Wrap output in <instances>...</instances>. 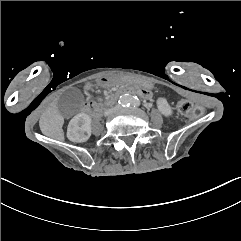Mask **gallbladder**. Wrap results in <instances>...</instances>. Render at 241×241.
Returning <instances> with one entry per match:
<instances>
[{
    "label": "gallbladder",
    "mask_w": 241,
    "mask_h": 241,
    "mask_svg": "<svg viewBox=\"0 0 241 241\" xmlns=\"http://www.w3.org/2000/svg\"><path fill=\"white\" fill-rule=\"evenodd\" d=\"M82 92L76 88L67 89L59 100V115L69 118L79 113L82 106Z\"/></svg>",
    "instance_id": "obj_1"
}]
</instances>
